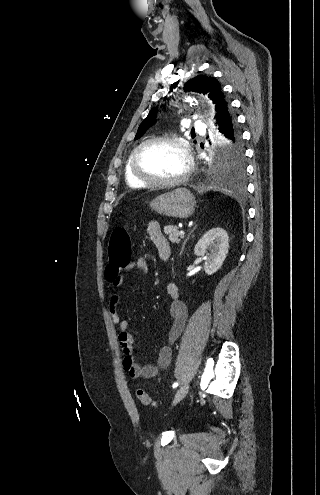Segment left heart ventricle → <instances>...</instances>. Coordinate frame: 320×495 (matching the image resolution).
Returning <instances> with one entry per match:
<instances>
[{
    "mask_svg": "<svg viewBox=\"0 0 320 495\" xmlns=\"http://www.w3.org/2000/svg\"><path fill=\"white\" fill-rule=\"evenodd\" d=\"M138 166L142 173L157 179H174L185 168L180 148L172 143L158 142L146 146L139 154Z\"/></svg>",
    "mask_w": 320,
    "mask_h": 495,
    "instance_id": "b2bd125f",
    "label": "left heart ventricle"
}]
</instances>
